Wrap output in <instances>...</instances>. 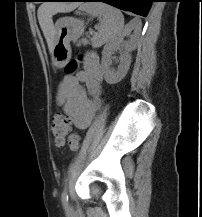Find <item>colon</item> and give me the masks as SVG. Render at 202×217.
I'll return each mask as SVG.
<instances>
[{
  "label": "colon",
  "mask_w": 202,
  "mask_h": 217,
  "mask_svg": "<svg viewBox=\"0 0 202 217\" xmlns=\"http://www.w3.org/2000/svg\"><path fill=\"white\" fill-rule=\"evenodd\" d=\"M80 59L71 60L65 67V72L68 75L73 74L79 67ZM70 116L66 113H57L52 121L51 131L54 142L58 146H62L67 140L69 147L77 151L80 148L81 138L79 134L70 132Z\"/></svg>",
  "instance_id": "5ec220e1"
}]
</instances>
